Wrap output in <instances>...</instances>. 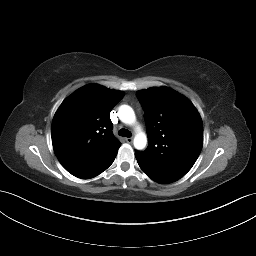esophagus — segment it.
<instances>
[{
	"instance_id": "34e87169",
	"label": "esophagus",
	"mask_w": 256,
	"mask_h": 256,
	"mask_svg": "<svg viewBox=\"0 0 256 256\" xmlns=\"http://www.w3.org/2000/svg\"><path fill=\"white\" fill-rule=\"evenodd\" d=\"M126 142L129 143V144L132 143L133 142V138H126Z\"/></svg>"
}]
</instances>
